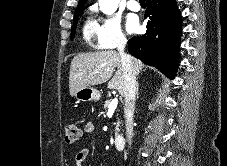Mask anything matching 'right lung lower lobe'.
Returning a JSON list of instances; mask_svg holds the SVG:
<instances>
[{
	"instance_id": "98d812e1",
	"label": "right lung lower lobe",
	"mask_w": 227,
	"mask_h": 166,
	"mask_svg": "<svg viewBox=\"0 0 227 166\" xmlns=\"http://www.w3.org/2000/svg\"><path fill=\"white\" fill-rule=\"evenodd\" d=\"M147 32L129 40V53L170 78L178 65L181 16L175 0H147Z\"/></svg>"
}]
</instances>
